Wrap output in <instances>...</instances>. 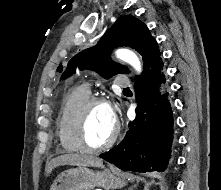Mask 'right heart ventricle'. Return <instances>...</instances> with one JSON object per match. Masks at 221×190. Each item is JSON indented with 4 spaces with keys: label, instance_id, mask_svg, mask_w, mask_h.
Returning <instances> with one entry per match:
<instances>
[{
    "label": "right heart ventricle",
    "instance_id": "obj_1",
    "mask_svg": "<svg viewBox=\"0 0 221 190\" xmlns=\"http://www.w3.org/2000/svg\"><path fill=\"white\" fill-rule=\"evenodd\" d=\"M90 98V91L86 87L73 89L64 99L57 118V135L60 146L65 152L80 151L72 133L74 116L78 108Z\"/></svg>",
    "mask_w": 221,
    "mask_h": 190
}]
</instances>
